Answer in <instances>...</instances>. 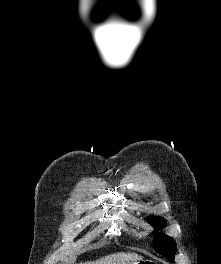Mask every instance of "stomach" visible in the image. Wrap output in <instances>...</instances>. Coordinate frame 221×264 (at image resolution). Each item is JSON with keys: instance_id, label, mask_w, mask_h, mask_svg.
<instances>
[{"instance_id": "1", "label": "stomach", "mask_w": 221, "mask_h": 264, "mask_svg": "<svg viewBox=\"0 0 221 264\" xmlns=\"http://www.w3.org/2000/svg\"><path fill=\"white\" fill-rule=\"evenodd\" d=\"M134 264H156V263L149 259H142L140 261L135 262Z\"/></svg>"}]
</instances>
